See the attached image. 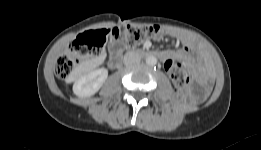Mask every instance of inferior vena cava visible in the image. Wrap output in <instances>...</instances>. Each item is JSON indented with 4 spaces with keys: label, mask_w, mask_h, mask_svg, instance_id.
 Masks as SVG:
<instances>
[{
    "label": "inferior vena cava",
    "mask_w": 261,
    "mask_h": 150,
    "mask_svg": "<svg viewBox=\"0 0 261 150\" xmlns=\"http://www.w3.org/2000/svg\"><path fill=\"white\" fill-rule=\"evenodd\" d=\"M140 60V56L134 51H129L124 55V64L126 66L137 65L140 63Z\"/></svg>",
    "instance_id": "obj_1"
}]
</instances>
